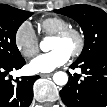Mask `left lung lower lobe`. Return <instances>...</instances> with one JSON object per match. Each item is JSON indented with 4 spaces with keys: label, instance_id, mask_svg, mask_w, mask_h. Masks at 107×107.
I'll return each instance as SVG.
<instances>
[{
    "label": "left lung lower lobe",
    "instance_id": "obj_1",
    "mask_svg": "<svg viewBox=\"0 0 107 107\" xmlns=\"http://www.w3.org/2000/svg\"><path fill=\"white\" fill-rule=\"evenodd\" d=\"M82 69L85 74L69 76V82L60 91L64 104L68 107L107 106V51L98 52L83 61H75L70 67Z\"/></svg>",
    "mask_w": 107,
    "mask_h": 107
}]
</instances>
